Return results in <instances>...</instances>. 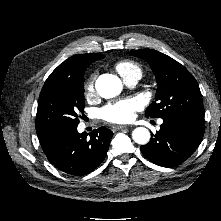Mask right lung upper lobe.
I'll use <instances>...</instances> for the list:
<instances>
[{
  "instance_id": "obj_1",
  "label": "right lung upper lobe",
  "mask_w": 221,
  "mask_h": 221,
  "mask_svg": "<svg viewBox=\"0 0 221 221\" xmlns=\"http://www.w3.org/2000/svg\"><path fill=\"white\" fill-rule=\"evenodd\" d=\"M104 58L100 54L74 55L61 63L48 77L47 80L56 78L77 79L84 77L86 68L96 60Z\"/></svg>"
}]
</instances>
